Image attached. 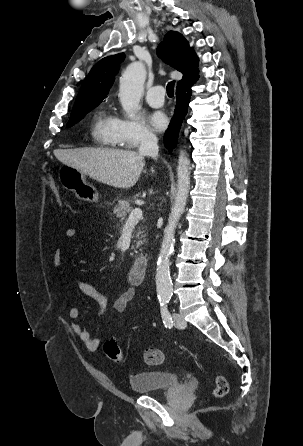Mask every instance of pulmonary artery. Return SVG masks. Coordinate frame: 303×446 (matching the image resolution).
<instances>
[{"label":"pulmonary artery","instance_id":"e3ab8cb5","mask_svg":"<svg viewBox=\"0 0 303 446\" xmlns=\"http://www.w3.org/2000/svg\"><path fill=\"white\" fill-rule=\"evenodd\" d=\"M164 93L165 90L161 85L150 88L146 95L148 104L155 108L161 107L164 104Z\"/></svg>","mask_w":303,"mask_h":446}]
</instances>
